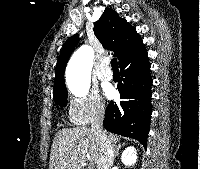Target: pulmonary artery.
I'll list each match as a JSON object with an SVG mask.
<instances>
[{"label": "pulmonary artery", "instance_id": "obj_1", "mask_svg": "<svg viewBox=\"0 0 200 169\" xmlns=\"http://www.w3.org/2000/svg\"><path fill=\"white\" fill-rule=\"evenodd\" d=\"M107 62L101 65V68L97 71V76L102 81H111L113 74L111 70L107 67Z\"/></svg>", "mask_w": 200, "mask_h": 169}]
</instances>
